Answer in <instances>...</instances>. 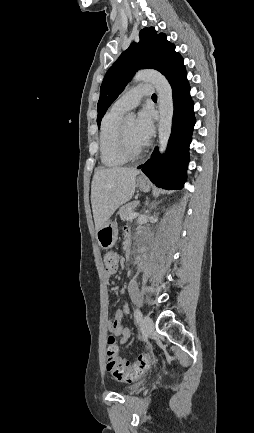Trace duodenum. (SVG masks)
<instances>
[{
    "label": "duodenum",
    "mask_w": 254,
    "mask_h": 433,
    "mask_svg": "<svg viewBox=\"0 0 254 433\" xmlns=\"http://www.w3.org/2000/svg\"><path fill=\"white\" fill-rule=\"evenodd\" d=\"M131 240H130V238H128L127 239V241H126V249L129 251L130 250V248H131Z\"/></svg>",
    "instance_id": "duodenum-1"
}]
</instances>
